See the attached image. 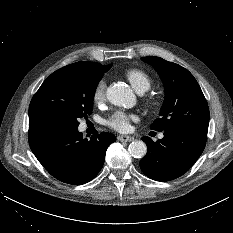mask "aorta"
<instances>
[{"label":"aorta","instance_id":"aorta-1","mask_svg":"<svg viewBox=\"0 0 233 233\" xmlns=\"http://www.w3.org/2000/svg\"><path fill=\"white\" fill-rule=\"evenodd\" d=\"M106 97L115 106L132 107L136 103V97L132 90L123 84L110 85L106 91ZM129 153L132 157L142 158L147 153V146L141 140L130 143Z\"/></svg>","mask_w":233,"mask_h":233}]
</instances>
